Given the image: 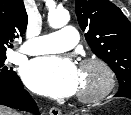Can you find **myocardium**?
Returning <instances> with one entry per match:
<instances>
[{
    "label": "myocardium",
    "instance_id": "f54148a6",
    "mask_svg": "<svg viewBox=\"0 0 131 115\" xmlns=\"http://www.w3.org/2000/svg\"><path fill=\"white\" fill-rule=\"evenodd\" d=\"M95 66L99 68L104 76V81L101 87L91 93H78L77 99L85 104L95 103L102 100L111 93L115 86V73L111 66L99 57H88L81 61L80 69Z\"/></svg>",
    "mask_w": 131,
    "mask_h": 115
}]
</instances>
